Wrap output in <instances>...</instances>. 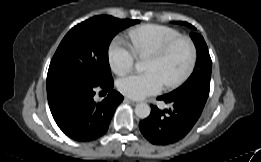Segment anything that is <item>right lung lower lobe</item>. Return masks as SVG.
<instances>
[{
    "label": "right lung lower lobe",
    "instance_id": "right-lung-lower-lobe-1",
    "mask_svg": "<svg viewBox=\"0 0 261 162\" xmlns=\"http://www.w3.org/2000/svg\"><path fill=\"white\" fill-rule=\"evenodd\" d=\"M96 87L108 92L99 103L93 99ZM112 80L98 86L78 80L61 82L47 90L48 103L59 128L77 141H92L104 135L123 96L114 90Z\"/></svg>",
    "mask_w": 261,
    "mask_h": 162
}]
</instances>
